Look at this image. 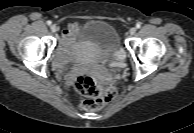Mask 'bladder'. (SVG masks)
<instances>
[{"instance_id": "bladder-1", "label": "bladder", "mask_w": 194, "mask_h": 133, "mask_svg": "<svg viewBox=\"0 0 194 133\" xmlns=\"http://www.w3.org/2000/svg\"><path fill=\"white\" fill-rule=\"evenodd\" d=\"M72 49H90L100 61L117 62L122 49L115 28L104 20L87 21L71 41Z\"/></svg>"}]
</instances>
